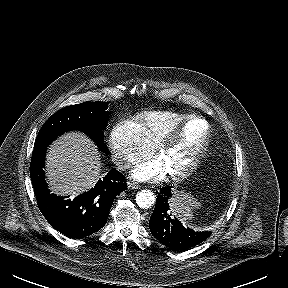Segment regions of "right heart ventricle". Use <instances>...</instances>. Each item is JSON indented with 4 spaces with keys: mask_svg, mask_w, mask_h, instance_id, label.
<instances>
[{
    "mask_svg": "<svg viewBox=\"0 0 288 288\" xmlns=\"http://www.w3.org/2000/svg\"><path fill=\"white\" fill-rule=\"evenodd\" d=\"M188 116L187 113L161 110L145 112L137 119L146 140L154 148L163 134Z\"/></svg>",
    "mask_w": 288,
    "mask_h": 288,
    "instance_id": "obj_1",
    "label": "right heart ventricle"
}]
</instances>
